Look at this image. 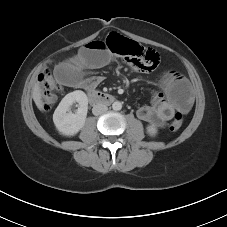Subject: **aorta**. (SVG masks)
<instances>
[{
    "label": "aorta",
    "mask_w": 227,
    "mask_h": 227,
    "mask_svg": "<svg viewBox=\"0 0 227 227\" xmlns=\"http://www.w3.org/2000/svg\"><path fill=\"white\" fill-rule=\"evenodd\" d=\"M112 108H113V110H116V111L121 110V108H122L121 102L115 101V102L112 104Z\"/></svg>",
    "instance_id": "aorta-1"
}]
</instances>
